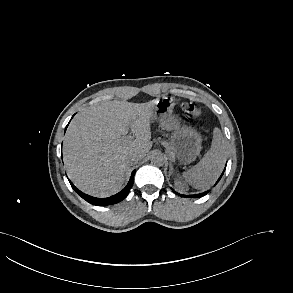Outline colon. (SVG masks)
<instances>
[{"mask_svg": "<svg viewBox=\"0 0 293 293\" xmlns=\"http://www.w3.org/2000/svg\"><path fill=\"white\" fill-rule=\"evenodd\" d=\"M182 108L187 117L198 116L200 114L195 105L191 103H183Z\"/></svg>", "mask_w": 293, "mask_h": 293, "instance_id": "colon-1", "label": "colon"}]
</instances>
